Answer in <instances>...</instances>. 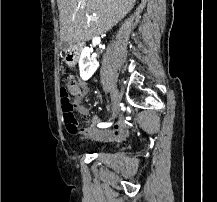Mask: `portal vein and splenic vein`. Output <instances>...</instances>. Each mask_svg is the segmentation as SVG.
<instances>
[{
  "label": "portal vein and splenic vein",
  "mask_w": 217,
  "mask_h": 202,
  "mask_svg": "<svg viewBox=\"0 0 217 202\" xmlns=\"http://www.w3.org/2000/svg\"><path fill=\"white\" fill-rule=\"evenodd\" d=\"M93 20H99V18H93Z\"/></svg>",
  "instance_id": "1"
}]
</instances>
